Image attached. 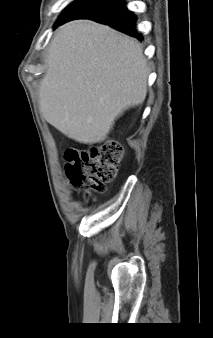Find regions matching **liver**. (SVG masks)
I'll list each match as a JSON object with an SVG mask.
<instances>
[{"label": "liver", "instance_id": "1", "mask_svg": "<svg viewBox=\"0 0 213 338\" xmlns=\"http://www.w3.org/2000/svg\"><path fill=\"white\" fill-rule=\"evenodd\" d=\"M39 86L45 120L67 137L102 142L125 110L147 95L149 70L133 38L89 20L61 26Z\"/></svg>", "mask_w": 213, "mask_h": 338}]
</instances>
